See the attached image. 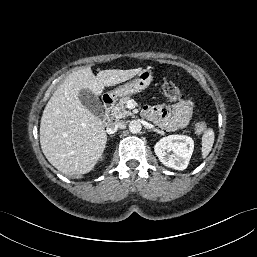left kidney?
Here are the masks:
<instances>
[{
	"mask_svg": "<svg viewBox=\"0 0 257 257\" xmlns=\"http://www.w3.org/2000/svg\"><path fill=\"white\" fill-rule=\"evenodd\" d=\"M194 149V141L189 136L169 135L160 139L154 146L155 154L161 163L175 170L187 168ZM166 150H172L167 154Z\"/></svg>",
	"mask_w": 257,
	"mask_h": 257,
	"instance_id": "obj_1",
	"label": "left kidney"
}]
</instances>
